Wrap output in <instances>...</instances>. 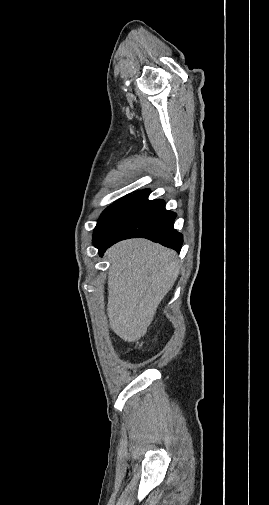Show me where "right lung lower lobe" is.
Listing matches in <instances>:
<instances>
[{"instance_id":"98d812e1","label":"right lung lower lobe","mask_w":269,"mask_h":505,"mask_svg":"<svg viewBox=\"0 0 269 505\" xmlns=\"http://www.w3.org/2000/svg\"><path fill=\"white\" fill-rule=\"evenodd\" d=\"M149 190L134 195L118 213L101 239L94 244L102 256L114 243L128 238H147L180 252L183 236L173 227L176 214L163 200H148Z\"/></svg>"}]
</instances>
